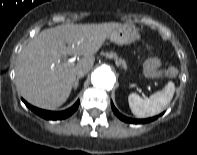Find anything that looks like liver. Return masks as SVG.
I'll return each instance as SVG.
<instances>
[{
  "label": "liver",
  "instance_id": "obj_1",
  "mask_svg": "<svg viewBox=\"0 0 197 155\" xmlns=\"http://www.w3.org/2000/svg\"><path fill=\"white\" fill-rule=\"evenodd\" d=\"M120 23L66 24L45 29L19 53L16 65V86L30 104L55 109L69 97L77 71L93 67L95 56ZM83 56L76 64L65 65L60 58Z\"/></svg>",
  "mask_w": 197,
  "mask_h": 155
}]
</instances>
